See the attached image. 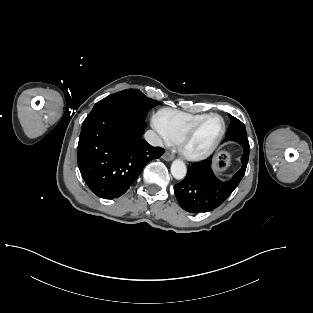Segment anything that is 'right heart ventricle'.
I'll return each mask as SVG.
<instances>
[{
  "label": "right heart ventricle",
  "instance_id": "obj_1",
  "mask_svg": "<svg viewBox=\"0 0 313 313\" xmlns=\"http://www.w3.org/2000/svg\"><path fill=\"white\" fill-rule=\"evenodd\" d=\"M207 114H191L173 109L159 111L156 124L169 143L176 144L183 134Z\"/></svg>",
  "mask_w": 313,
  "mask_h": 313
}]
</instances>
